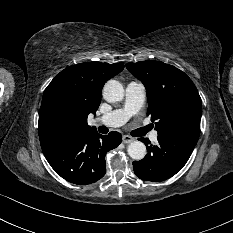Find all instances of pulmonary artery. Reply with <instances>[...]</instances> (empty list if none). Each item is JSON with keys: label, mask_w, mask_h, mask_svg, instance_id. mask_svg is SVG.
I'll return each mask as SVG.
<instances>
[{"label": "pulmonary artery", "mask_w": 233, "mask_h": 233, "mask_svg": "<svg viewBox=\"0 0 233 233\" xmlns=\"http://www.w3.org/2000/svg\"><path fill=\"white\" fill-rule=\"evenodd\" d=\"M145 97L146 90L144 85L139 82H130L125 89L124 106L97 118L95 122L108 127L123 125L132 115L141 109L145 102ZM157 138L158 133L152 132L150 135L151 141L155 142Z\"/></svg>", "instance_id": "pulmonary-artery-1"}]
</instances>
